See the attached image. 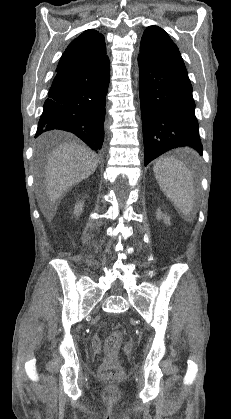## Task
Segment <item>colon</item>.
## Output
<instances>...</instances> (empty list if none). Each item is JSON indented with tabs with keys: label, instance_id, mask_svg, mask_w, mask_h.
I'll return each mask as SVG.
<instances>
[{
	"label": "colon",
	"instance_id": "obj_1",
	"mask_svg": "<svg viewBox=\"0 0 231 419\" xmlns=\"http://www.w3.org/2000/svg\"><path fill=\"white\" fill-rule=\"evenodd\" d=\"M122 344V334L119 331L111 332L104 343L105 359L100 368V375L104 378H114L121 372L118 352Z\"/></svg>",
	"mask_w": 231,
	"mask_h": 419
}]
</instances>
